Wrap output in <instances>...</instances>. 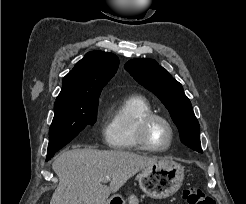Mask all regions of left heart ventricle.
Masks as SVG:
<instances>
[{
    "label": "left heart ventricle",
    "instance_id": "obj_1",
    "mask_svg": "<svg viewBox=\"0 0 246 204\" xmlns=\"http://www.w3.org/2000/svg\"><path fill=\"white\" fill-rule=\"evenodd\" d=\"M170 133L167 126L161 121H155L150 129L148 138L155 147H164L169 141Z\"/></svg>",
    "mask_w": 246,
    "mask_h": 204
}]
</instances>
